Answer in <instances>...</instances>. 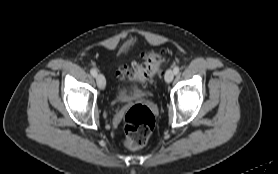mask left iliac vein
I'll return each mask as SVG.
<instances>
[{"mask_svg":"<svg viewBox=\"0 0 278 174\" xmlns=\"http://www.w3.org/2000/svg\"><path fill=\"white\" fill-rule=\"evenodd\" d=\"M165 81L167 83L172 82L173 78H174V72L171 69H168L165 73Z\"/></svg>","mask_w":278,"mask_h":174,"instance_id":"1","label":"left iliac vein"}]
</instances>
